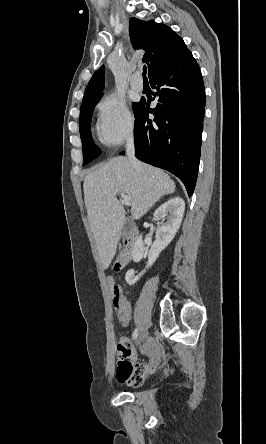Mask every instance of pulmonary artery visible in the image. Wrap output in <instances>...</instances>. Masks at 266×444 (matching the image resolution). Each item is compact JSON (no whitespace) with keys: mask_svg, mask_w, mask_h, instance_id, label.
I'll return each mask as SVG.
<instances>
[{"mask_svg":"<svg viewBox=\"0 0 266 444\" xmlns=\"http://www.w3.org/2000/svg\"><path fill=\"white\" fill-rule=\"evenodd\" d=\"M138 76H139L138 73H135L133 75V78H132V80L130 82V85H131L133 90H135L137 92H141L143 90L144 86H143V83L141 81H138V79H137Z\"/></svg>","mask_w":266,"mask_h":444,"instance_id":"e3ab8cb5","label":"pulmonary artery"}]
</instances>
